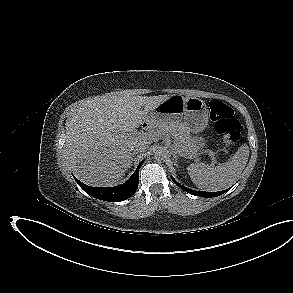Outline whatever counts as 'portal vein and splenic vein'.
Segmentation results:
<instances>
[{"label":"portal vein and splenic vein","instance_id":"portal-vein-and-splenic-vein-1","mask_svg":"<svg viewBox=\"0 0 293 293\" xmlns=\"http://www.w3.org/2000/svg\"><path fill=\"white\" fill-rule=\"evenodd\" d=\"M140 134H142L143 136H145L146 134L149 135V136H157V135H159V134L152 135L151 133H140ZM208 155L211 157V160H212L211 165L216 164L217 160H216L215 153L213 151H208Z\"/></svg>","mask_w":293,"mask_h":293}]
</instances>
